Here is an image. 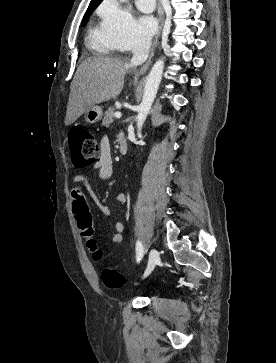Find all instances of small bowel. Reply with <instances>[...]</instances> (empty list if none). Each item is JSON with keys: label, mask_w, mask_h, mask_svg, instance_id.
I'll list each match as a JSON object with an SVG mask.
<instances>
[{"label": "small bowel", "mask_w": 276, "mask_h": 363, "mask_svg": "<svg viewBox=\"0 0 276 363\" xmlns=\"http://www.w3.org/2000/svg\"><path fill=\"white\" fill-rule=\"evenodd\" d=\"M94 167L98 170L100 179L109 180L112 178L114 167L112 163L111 145L107 137H103L100 141V157L95 163ZM72 179L73 182L77 184V186L72 188L70 192L73 211L76 214L78 221L80 216L86 214L88 215L91 223L88 229L80 228L83 237L87 240L90 236V233L95 237V229L92 224V217L89 211V202L86 195L87 179L81 173L75 174ZM116 200L121 204H125L128 201V198L126 194L118 193ZM101 210L106 216L111 215V211L108 207L101 206ZM114 229L115 234L112 237V242L121 243L125 229L124 224L120 221H117L114 224Z\"/></svg>", "instance_id": "1"}]
</instances>
